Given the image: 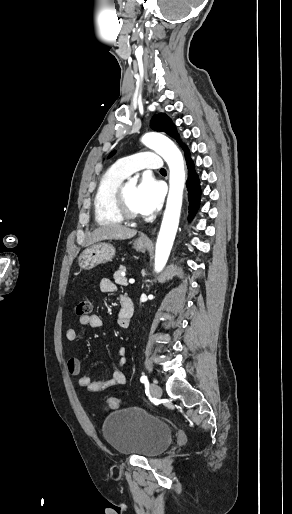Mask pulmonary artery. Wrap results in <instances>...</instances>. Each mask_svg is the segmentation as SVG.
<instances>
[{"label":"pulmonary artery","instance_id":"1","mask_svg":"<svg viewBox=\"0 0 292 514\" xmlns=\"http://www.w3.org/2000/svg\"><path fill=\"white\" fill-rule=\"evenodd\" d=\"M162 169L160 158L154 151L138 150L129 156H119L113 163V170L125 178L133 172H159Z\"/></svg>","mask_w":292,"mask_h":514}]
</instances>
